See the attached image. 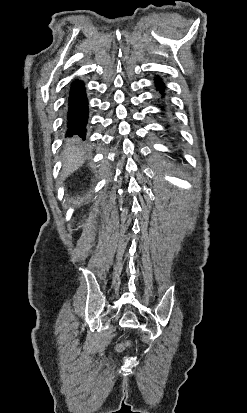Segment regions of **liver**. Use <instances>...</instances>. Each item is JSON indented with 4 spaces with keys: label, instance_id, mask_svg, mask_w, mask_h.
<instances>
[{
    "label": "liver",
    "instance_id": "obj_1",
    "mask_svg": "<svg viewBox=\"0 0 247 413\" xmlns=\"http://www.w3.org/2000/svg\"><path fill=\"white\" fill-rule=\"evenodd\" d=\"M63 162L64 176H68V174H71V172H74L83 164L84 152L82 148H79L77 138H70L68 146L64 150Z\"/></svg>",
    "mask_w": 247,
    "mask_h": 413
}]
</instances>
